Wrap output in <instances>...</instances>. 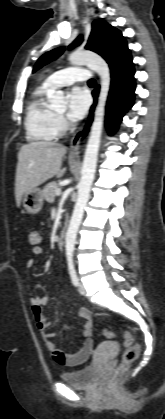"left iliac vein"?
Listing matches in <instances>:
<instances>
[{"label": "left iliac vein", "instance_id": "left-iliac-vein-1", "mask_svg": "<svg viewBox=\"0 0 165 419\" xmlns=\"http://www.w3.org/2000/svg\"><path fill=\"white\" fill-rule=\"evenodd\" d=\"M78 291L81 295H84L86 293L85 287L82 283L79 284Z\"/></svg>", "mask_w": 165, "mask_h": 419}]
</instances>
